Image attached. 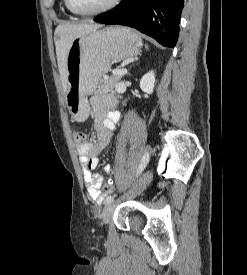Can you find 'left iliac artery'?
I'll return each mask as SVG.
<instances>
[{
	"label": "left iliac artery",
	"instance_id": "44dca946",
	"mask_svg": "<svg viewBox=\"0 0 247 275\" xmlns=\"http://www.w3.org/2000/svg\"><path fill=\"white\" fill-rule=\"evenodd\" d=\"M149 158H150L149 153L146 152V153L143 155L142 160H141V163H140V165H139V167H138L137 175H139V174L142 173V171H143L144 168L146 167L147 163L149 162ZM113 200H114V197L110 195V196H108V197L106 198L105 203H110V202H112Z\"/></svg>",
	"mask_w": 247,
	"mask_h": 275
}]
</instances>
